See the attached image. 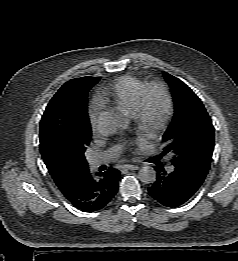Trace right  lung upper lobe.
<instances>
[{
	"mask_svg": "<svg viewBox=\"0 0 238 261\" xmlns=\"http://www.w3.org/2000/svg\"><path fill=\"white\" fill-rule=\"evenodd\" d=\"M77 79L97 80L100 77H82ZM57 126L61 137L68 143L78 144L91 137L90 122L87 125H83L69 119H61L57 121ZM48 171L64 196L68 195L89 172L88 165L81 166L73 172Z\"/></svg>",
	"mask_w": 238,
	"mask_h": 261,
	"instance_id": "cb5924a9",
	"label": "right lung upper lobe"
}]
</instances>
